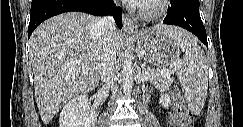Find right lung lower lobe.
<instances>
[{
	"label": "right lung lower lobe",
	"instance_id": "1",
	"mask_svg": "<svg viewBox=\"0 0 243 127\" xmlns=\"http://www.w3.org/2000/svg\"><path fill=\"white\" fill-rule=\"evenodd\" d=\"M70 11H80L96 16L113 15L118 28H122L121 9L113 7L112 0H32L28 38L44 20Z\"/></svg>",
	"mask_w": 243,
	"mask_h": 127
}]
</instances>
